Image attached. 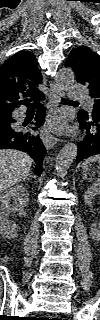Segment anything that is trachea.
<instances>
[{
  "instance_id": "3493384b",
  "label": "trachea",
  "mask_w": 100,
  "mask_h": 320,
  "mask_svg": "<svg viewBox=\"0 0 100 320\" xmlns=\"http://www.w3.org/2000/svg\"><path fill=\"white\" fill-rule=\"evenodd\" d=\"M61 102H62V103H67V102H73V101L62 98V99H61ZM38 104H39L38 102H33V103L30 104L29 107H36V106H38Z\"/></svg>"
}]
</instances>
